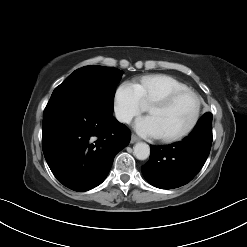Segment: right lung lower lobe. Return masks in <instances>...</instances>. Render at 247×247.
<instances>
[{
  "label": "right lung lower lobe",
  "instance_id": "98d812e1",
  "mask_svg": "<svg viewBox=\"0 0 247 247\" xmlns=\"http://www.w3.org/2000/svg\"><path fill=\"white\" fill-rule=\"evenodd\" d=\"M113 107L90 99L49 101L43 113L42 147L54 176L66 187L88 191L101 184L131 133Z\"/></svg>",
  "mask_w": 247,
  "mask_h": 247
}]
</instances>
